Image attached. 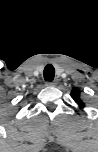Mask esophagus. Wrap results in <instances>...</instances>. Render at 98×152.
<instances>
[{
	"instance_id": "esophagus-1",
	"label": "esophagus",
	"mask_w": 98,
	"mask_h": 152,
	"mask_svg": "<svg viewBox=\"0 0 98 152\" xmlns=\"http://www.w3.org/2000/svg\"><path fill=\"white\" fill-rule=\"evenodd\" d=\"M57 84L56 81L53 82H46V86H55Z\"/></svg>"
}]
</instances>
